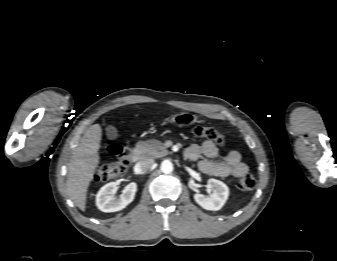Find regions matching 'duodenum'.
Listing matches in <instances>:
<instances>
[{
  "label": "duodenum",
  "mask_w": 337,
  "mask_h": 261,
  "mask_svg": "<svg viewBox=\"0 0 337 261\" xmlns=\"http://www.w3.org/2000/svg\"><path fill=\"white\" fill-rule=\"evenodd\" d=\"M131 159L133 162H138L141 159V153L139 150L135 149L132 151Z\"/></svg>",
  "instance_id": "duodenum-1"
}]
</instances>
